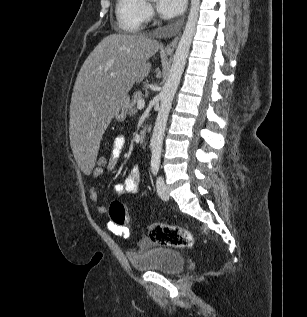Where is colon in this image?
<instances>
[{
    "mask_svg": "<svg viewBox=\"0 0 307 317\" xmlns=\"http://www.w3.org/2000/svg\"><path fill=\"white\" fill-rule=\"evenodd\" d=\"M108 158L98 155L95 168H105ZM109 214L114 224L121 227L130 225V217L122 202L115 200L111 203ZM149 239L153 244L173 247L188 248L193 244V237L186 229L167 224H152L149 227Z\"/></svg>",
    "mask_w": 307,
    "mask_h": 317,
    "instance_id": "1",
    "label": "colon"
}]
</instances>
